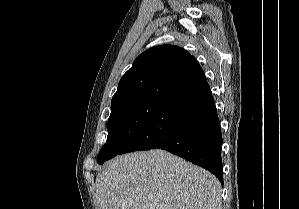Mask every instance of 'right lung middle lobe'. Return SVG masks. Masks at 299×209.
<instances>
[{
    "mask_svg": "<svg viewBox=\"0 0 299 209\" xmlns=\"http://www.w3.org/2000/svg\"><path fill=\"white\" fill-rule=\"evenodd\" d=\"M161 103L145 101L111 108L107 142L97 156L101 165L114 156L143 129Z\"/></svg>",
    "mask_w": 299,
    "mask_h": 209,
    "instance_id": "1",
    "label": "right lung middle lobe"
}]
</instances>
